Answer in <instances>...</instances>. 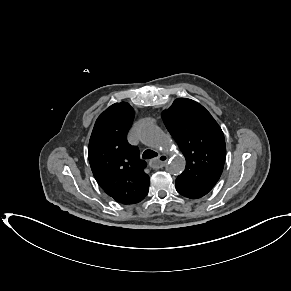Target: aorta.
I'll use <instances>...</instances> for the list:
<instances>
[{
  "label": "aorta",
  "mask_w": 291,
  "mask_h": 291,
  "mask_svg": "<svg viewBox=\"0 0 291 291\" xmlns=\"http://www.w3.org/2000/svg\"><path fill=\"white\" fill-rule=\"evenodd\" d=\"M139 137L142 143L162 153H171L172 139L166 135L157 125L153 123L142 126ZM186 166L185 158L182 155L171 157L167 163V171L171 174L181 173Z\"/></svg>",
  "instance_id": "aorta-1"
}]
</instances>
